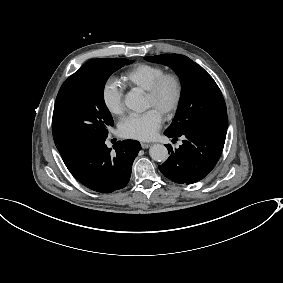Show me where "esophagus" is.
<instances>
[{
  "mask_svg": "<svg viewBox=\"0 0 283 283\" xmlns=\"http://www.w3.org/2000/svg\"><path fill=\"white\" fill-rule=\"evenodd\" d=\"M142 148L146 149L149 148L150 146H152V144L150 143H141Z\"/></svg>",
  "mask_w": 283,
  "mask_h": 283,
  "instance_id": "esophagus-1",
  "label": "esophagus"
}]
</instances>
